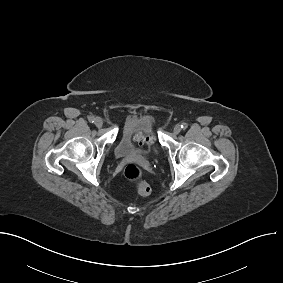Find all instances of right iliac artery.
Masks as SVG:
<instances>
[{"instance_id":"right-iliac-artery-1","label":"right iliac artery","mask_w":283,"mask_h":283,"mask_svg":"<svg viewBox=\"0 0 283 283\" xmlns=\"http://www.w3.org/2000/svg\"><path fill=\"white\" fill-rule=\"evenodd\" d=\"M88 120H89V122L93 123L95 121V118H94V116H89Z\"/></svg>"}]
</instances>
